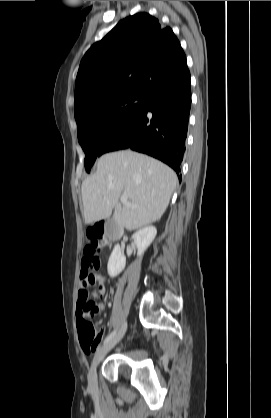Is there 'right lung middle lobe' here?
Segmentation results:
<instances>
[{"label": "right lung middle lobe", "instance_id": "dd1d6c3e", "mask_svg": "<svg viewBox=\"0 0 271 418\" xmlns=\"http://www.w3.org/2000/svg\"><path fill=\"white\" fill-rule=\"evenodd\" d=\"M147 97L124 93L117 95L84 113L75 115L77 135L85 152V168L89 172L106 137L135 114Z\"/></svg>", "mask_w": 271, "mask_h": 418}]
</instances>
